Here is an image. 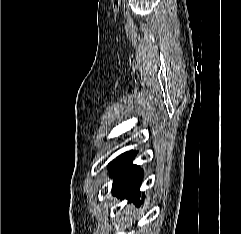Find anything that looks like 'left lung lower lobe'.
Returning a JSON list of instances; mask_svg holds the SVG:
<instances>
[{"label": "left lung lower lobe", "instance_id": "obj_1", "mask_svg": "<svg viewBox=\"0 0 241 234\" xmlns=\"http://www.w3.org/2000/svg\"><path fill=\"white\" fill-rule=\"evenodd\" d=\"M136 155V151L126 152L108 165L111 176L114 177L112 194L119 198H128L129 201L141 205V193L139 191L140 181L143 171L131 162ZM143 198V196H142Z\"/></svg>", "mask_w": 241, "mask_h": 234}]
</instances>
